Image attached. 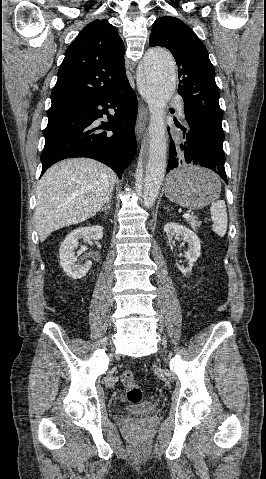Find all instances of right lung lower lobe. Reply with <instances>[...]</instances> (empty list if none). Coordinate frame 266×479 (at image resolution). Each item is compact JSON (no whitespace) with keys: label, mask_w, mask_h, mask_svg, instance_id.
<instances>
[{"label":"right lung lower lobe","mask_w":266,"mask_h":479,"mask_svg":"<svg viewBox=\"0 0 266 479\" xmlns=\"http://www.w3.org/2000/svg\"><path fill=\"white\" fill-rule=\"evenodd\" d=\"M109 108L114 109L113 114ZM137 111L129 82L113 91L52 102L44 131L41 175L60 160L87 157L108 165L121 178L137 150ZM104 116L108 122L96 126L94 121Z\"/></svg>","instance_id":"1"}]
</instances>
